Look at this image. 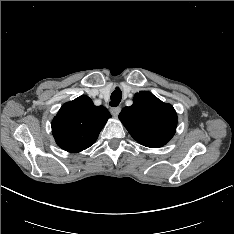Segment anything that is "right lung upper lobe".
<instances>
[{
  "mask_svg": "<svg viewBox=\"0 0 234 234\" xmlns=\"http://www.w3.org/2000/svg\"><path fill=\"white\" fill-rule=\"evenodd\" d=\"M110 117L104 106H95L82 95L60 108L52 121V133L59 147L77 153L95 143Z\"/></svg>",
  "mask_w": 234,
  "mask_h": 234,
  "instance_id": "right-lung-upper-lobe-1",
  "label": "right lung upper lobe"
}]
</instances>
